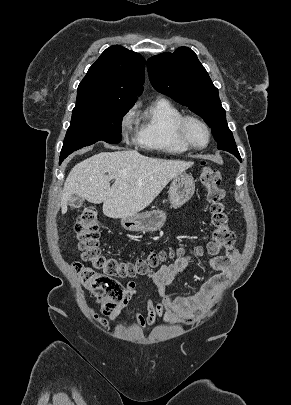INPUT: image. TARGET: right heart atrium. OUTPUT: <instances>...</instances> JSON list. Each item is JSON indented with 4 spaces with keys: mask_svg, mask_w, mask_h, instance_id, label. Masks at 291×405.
<instances>
[{
    "mask_svg": "<svg viewBox=\"0 0 291 405\" xmlns=\"http://www.w3.org/2000/svg\"><path fill=\"white\" fill-rule=\"evenodd\" d=\"M134 122V110L129 109L121 118L120 128L125 140H128Z\"/></svg>",
    "mask_w": 291,
    "mask_h": 405,
    "instance_id": "d8ad5b80",
    "label": "right heart atrium"
}]
</instances>
